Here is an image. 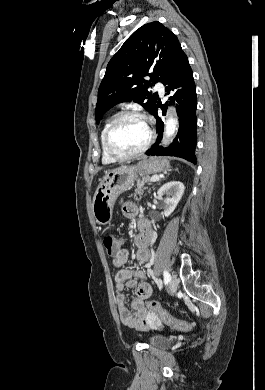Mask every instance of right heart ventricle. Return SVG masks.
<instances>
[{"mask_svg": "<svg viewBox=\"0 0 265 390\" xmlns=\"http://www.w3.org/2000/svg\"><path fill=\"white\" fill-rule=\"evenodd\" d=\"M114 118H115V116L112 115L106 119V121L102 127L101 133H100L101 159H102L103 164H112V163L116 162V160L114 158H112L108 154V152L106 151V147H105V143H104L105 133H106L108 127L110 126L111 122L114 120Z\"/></svg>", "mask_w": 265, "mask_h": 390, "instance_id": "obj_1", "label": "right heart ventricle"}]
</instances>
